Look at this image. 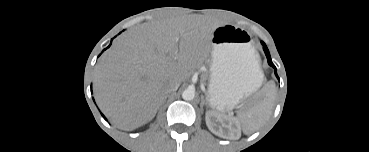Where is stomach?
Returning <instances> with one entry per match:
<instances>
[{"mask_svg": "<svg viewBox=\"0 0 369 152\" xmlns=\"http://www.w3.org/2000/svg\"><path fill=\"white\" fill-rule=\"evenodd\" d=\"M212 62L208 102L219 111L233 109L254 93L263 74L256 62L251 36L243 29L224 24L211 38Z\"/></svg>", "mask_w": 369, "mask_h": 152, "instance_id": "0dacf381", "label": "stomach"}]
</instances>
